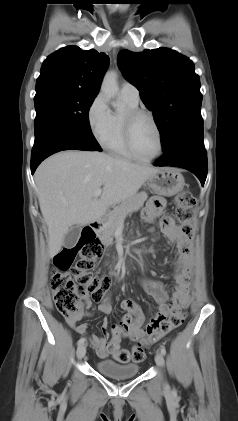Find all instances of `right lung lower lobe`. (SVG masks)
I'll return each mask as SVG.
<instances>
[{
    "label": "right lung lower lobe",
    "mask_w": 238,
    "mask_h": 421,
    "mask_svg": "<svg viewBox=\"0 0 238 421\" xmlns=\"http://www.w3.org/2000/svg\"><path fill=\"white\" fill-rule=\"evenodd\" d=\"M63 150H98L64 127L54 123L46 124L35 136L31 155V173L48 156Z\"/></svg>",
    "instance_id": "right-lung-lower-lobe-1"
}]
</instances>
